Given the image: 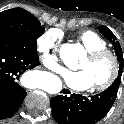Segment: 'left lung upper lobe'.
Here are the masks:
<instances>
[{
    "mask_svg": "<svg viewBox=\"0 0 124 124\" xmlns=\"http://www.w3.org/2000/svg\"><path fill=\"white\" fill-rule=\"evenodd\" d=\"M98 29L101 31V33L103 34L105 38L111 41V43L114 46V49H115V52H116V55L119 61V73H118V77L115 79L113 85L111 86L116 87L118 89L120 82H121V76H122L123 65H124L122 49H121L119 42L116 40L115 35L107 27L100 26Z\"/></svg>",
    "mask_w": 124,
    "mask_h": 124,
    "instance_id": "obj_1",
    "label": "left lung upper lobe"
}]
</instances>
